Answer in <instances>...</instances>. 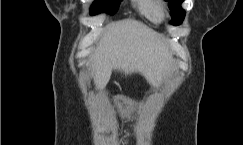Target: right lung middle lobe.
Segmentation results:
<instances>
[{"instance_id": "right-lung-middle-lobe-1", "label": "right lung middle lobe", "mask_w": 243, "mask_h": 145, "mask_svg": "<svg viewBox=\"0 0 243 145\" xmlns=\"http://www.w3.org/2000/svg\"><path fill=\"white\" fill-rule=\"evenodd\" d=\"M121 1L115 0H96L91 7V15H96L101 12L108 11L111 14H114Z\"/></svg>"}]
</instances>
